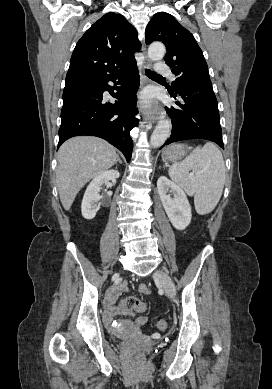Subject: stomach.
<instances>
[{"label":"stomach","mask_w":272,"mask_h":389,"mask_svg":"<svg viewBox=\"0 0 272 389\" xmlns=\"http://www.w3.org/2000/svg\"><path fill=\"white\" fill-rule=\"evenodd\" d=\"M189 149L184 144H172L164 149L162 158L166 161H178L187 155Z\"/></svg>","instance_id":"stomach-1"}]
</instances>
